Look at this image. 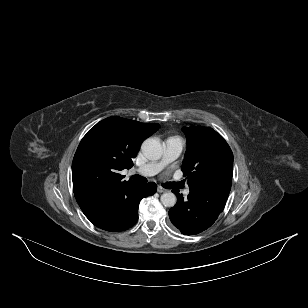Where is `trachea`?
I'll list each match as a JSON object with an SVG mask.
<instances>
[{"label":"trachea","mask_w":308,"mask_h":308,"mask_svg":"<svg viewBox=\"0 0 308 308\" xmlns=\"http://www.w3.org/2000/svg\"><path fill=\"white\" fill-rule=\"evenodd\" d=\"M132 179L138 183H146L147 182V179L143 176H140V175H134L132 176Z\"/></svg>","instance_id":"3493384b"}]
</instances>
